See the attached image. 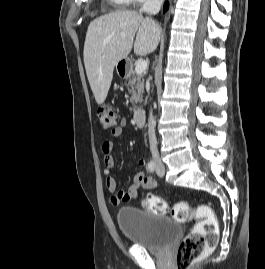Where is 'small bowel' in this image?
Returning a JSON list of instances; mask_svg holds the SVG:
<instances>
[{"label":"small bowel","instance_id":"1","mask_svg":"<svg viewBox=\"0 0 265 269\" xmlns=\"http://www.w3.org/2000/svg\"><path fill=\"white\" fill-rule=\"evenodd\" d=\"M126 120H121L120 125L111 131L114 138H118L123 133V128L126 126ZM114 143L112 140H105L102 143L101 151L104 161V174L106 175V186L109 192L113 193L111 202L117 206L121 203L130 202L137 199L139 188L142 187L146 190L155 189L157 187V181L150 176L147 172H138L133 180V183L126 190L117 191L116 182L112 176H110V170L114 167L115 159L113 156ZM146 161L143 158L138 159V165L145 166Z\"/></svg>","mask_w":265,"mask_h":269}]
</instances>
